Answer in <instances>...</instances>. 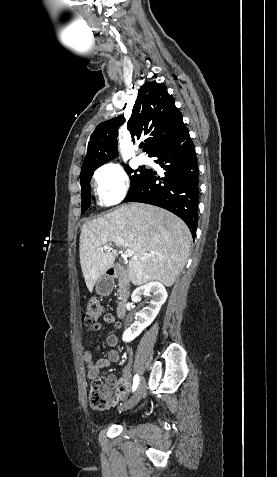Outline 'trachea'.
Listing matches in <instances>:
<instances>
[{"instance_id": "obj_1", "label": "trachea", "mask_w": 277, "mask_h": 477, "mask_svg": "<svg viewBox=\"0 0 277 477\" xmlns=\"http://www.w3.org/2000/svg\"><path fill=\"white\" fill-rule=\"evenodd\" d=\"M140 147H141V148H143V147H144V145L142 144V145H140Z\"/></svg>"}]
</instances>
